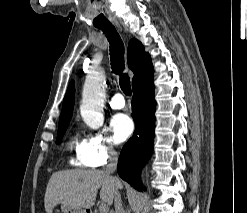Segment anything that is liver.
Wrapping results in <instances>:
<instances>
[{"label":"liver","instance_id":"liver-1","mask_svg":"<svg viewBox=\"0 0 247 213\" xmlns=\"http://www.w3.org/2000/svg\"><path fill=\"white\" fill-rule=\"evenodd\" d=\"M121 187V183L118 188ZM100 198L111 205L116 184L104 170H64L55 172L47 184L44 204L47 213H52L57 204H67L84 209L91 208Z\"/></svg>","mask_w":247,"mask_h":213}]
</instances>
